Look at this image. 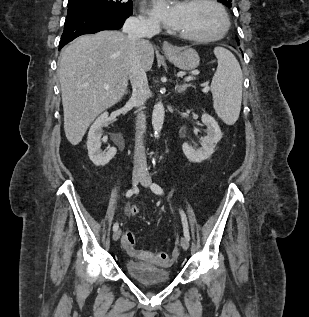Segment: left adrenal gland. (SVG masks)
<instances>
[{"label":"left adrenal gland","mask_w":309,"mask_h":317,"mask_svg":"<svg viewBox=\"0 0 309 317\" xmlns=\"http://www.w3.org/2000/svg\"><path fill=\"white\" fill-rule=\"evenodd\" d=\"M192 85L191 84H183V85H176L175 86V89L178 93H182L184 92L188 87H191Z\"/></svg>","instance_id":"a2214340"}]
</instances>
